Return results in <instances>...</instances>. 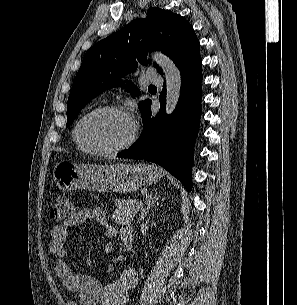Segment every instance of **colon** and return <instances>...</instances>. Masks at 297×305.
Returning a JSON list of instances; mask_svg holds the SVG:
<instances>
[{"instance_id":"1","label":"colon","mask_w":297,"mask_h":305,"mask_svg":"<svg viewBox=\"0 0 297 305\" xmlns=\"http://www.w3.org/2000/svg\"><path fill=\"white\" fill-rule=\"evenodd\" d=\"M75 204L65 196L57 197L51 210V220L55 223H62L75 215Z\"/></svg>"}]
</instances>
